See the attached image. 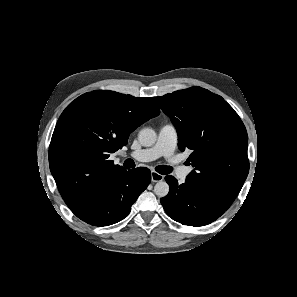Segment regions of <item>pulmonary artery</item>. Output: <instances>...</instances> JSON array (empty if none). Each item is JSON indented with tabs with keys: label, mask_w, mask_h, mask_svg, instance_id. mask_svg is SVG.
Instances as JSON below:
<instances>
[{
	"label": "pulmonary artery",
	"mask_w": 297,
	"mask_h": 297,
	"mask_svg": "<svg viewBox=\"0 0 297 297\" xmlns=\"http://www.w3.org/2000/svg\"><path fill=\"white\" fill-rule=\"evenodd\" d=\"M178 142V133L173 124L163 125L158 133L156 143L150 147L131 153V157L139 161H152L160 157L169 158L174 153ZM190 169L178 167L176 175L181 181H185Z\"/></svg>",
	"instance_id": "obj_1"
}]
</instances>
